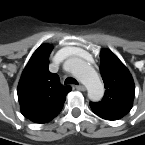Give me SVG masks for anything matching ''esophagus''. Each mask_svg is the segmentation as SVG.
Listing matches in <instances>:
<instances>
[{
	"mask_svg": "<svg viewBox=\"0 0 145 145\" xmlns=\"http://www.w3.org/2000/svg\"><path fill=\"white\" fill-rule=\"evenodd\" d=\"M75 87H76V89L79 90V91H85V87H84L83 85H81V84L76 85Z\"/></svg>",
	"mask_w": 145,
	"mask_h": 145,
	"instance_id": "obj_1",
	"label": "esophagus"
}]
</instances>
